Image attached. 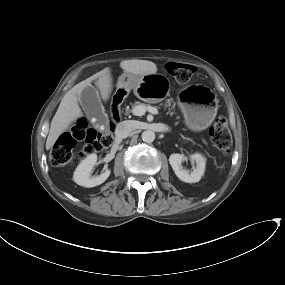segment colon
I'll use <instances>...</instances> for the list:
<instances>
[{
	"mask_svg": "<svg viewBox=\"0 0 285 285\" xmlns=\"http://www.w3.org/2000/svg\"><path fill=\"white\" fill-rule=\"evenodd\" d=\"M166 69L171 77L181 82L189 81L195 72L194 66L178 62H169ZM209 136L218 150L224 154L229 152L232 139L225 118L219 117L214 122L210 127ZM111 141L109 133H98L89 128L85 119H79L57 139L50 153V162L56 167L77 164L80 161V154L77 152L79 146L84 153L90 154L104 149Z\"/></svg>",
	"mask_w": 285,
	"mask_h": 285,
	"instance_id": "5ec220e1",
	"label": "colon"
}]
</instances>
